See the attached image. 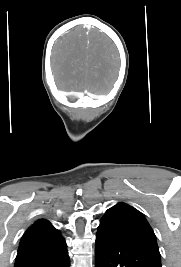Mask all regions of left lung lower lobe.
Instances as JSON below:
<instances>
[{
  "label": "left lung lower lobe",
  "mask_w": 181,
  "mask_h": 267,
  "mask_svg": "<svg viewBox=\"0 0 181 267\" xmlns=\"http://www.w3.org/2000/svg\"><path fill=\"white\" fill-rule=\"evenodd\" d=\"M95 267H161L160 256L108 229H98Z\"/></svg>",
  "instance_id": "0a47b994"
}]
</instances>
